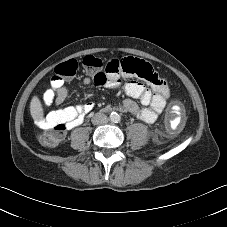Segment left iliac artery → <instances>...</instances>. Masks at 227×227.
<instances>
[{
	"label": "left iliac artery",
	"instance_id": "44dca946",
	"mask_svg": "<svg viewBox=\"0 0 227 227\" xmlns=\"http://www.w3.org/2000/svg\"><path fill=\"white\" fill-rule=\"evenodd\" d=\"M121 121V118L120 117H117V122H120Z\"/></svg>",
	"mask_w": 227,
	"mask_h": 227
}]
</instances>
